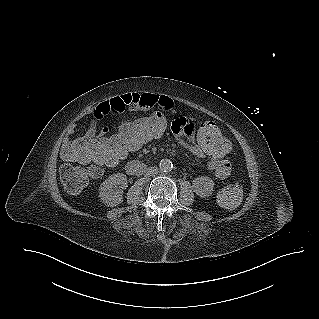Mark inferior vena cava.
I'll list each match as a JSON object with an SVG mask.
<instances>
[{
  "label": "inferior vena cava",
  "instance_id": "1",
  "mask_svg": "<svg viewBox=\"0 0 319 319\" xmlns=\"http://www.w3.org/2000/svg\"><path fill=\"white\" fill-rule=\"evenodd\" d=\"M158 173V168L157 167H149L146 172L145 175L146 176H152Z\"/></svg>",
  "mask_w": 319,
  "mask_h": 319
}]
</instances>
